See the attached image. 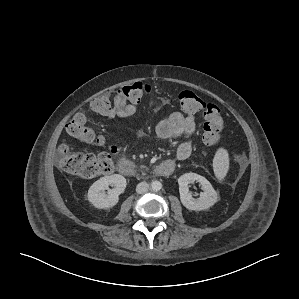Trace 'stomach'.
Listing matches in <instances>:
<instances>
[{
    "mask_svg": "<svg viewBox=\"0 0 299 299\" xmlns=\"http://www.w3.org/2000/svg\"><path fill=\"white\" fill-rule=\"evenodd\" d=\"M151 105H156V109H159L161 106L158 105L156 102H151Z\"/></svg>",
    "mask_w": 299,
    "mask_h": 299,
    "instance_id": "stomach-1",
    "label": "stomach"
}]
</instances>
